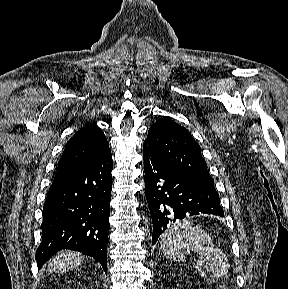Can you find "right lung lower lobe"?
Here are the masks:
<instances>
[{
  "label": "right lung lower lobe",
  "instance_id": "98d812e1",
  "mask_svg": "<svg viewBox=\"0 0 288 289\" xmlns=\"http://www.w3.org/2000/svg\"><path fill=\"white\" fill-rule=\"evenodd\" d=\"M112 169L109 154L89 165L57 171L43 207L38 268L66 248L93 257L107 272Z\"/></svg>",
  "mask_w": 288,
  "mask_h": 289
}]
</instances>
